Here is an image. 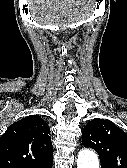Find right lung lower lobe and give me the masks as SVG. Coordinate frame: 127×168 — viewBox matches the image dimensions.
Returning a JSON list of instances; mask_svg holds the SVG:
<instances>
[{"mask_svg": "<svg viewBox=\"0 0 127 168\" xmlns=\"http://www.w3.org/2000/svg\"><path fill=\"white\" fill-rule=\"evenodd\" d=\"M47 168H52V164H51V165H49Z\"/></svg>", "mask_w": 127, "mask_h": 168, "instance_id": "1", "label": "right lung lower lobe"}]
</instances>
